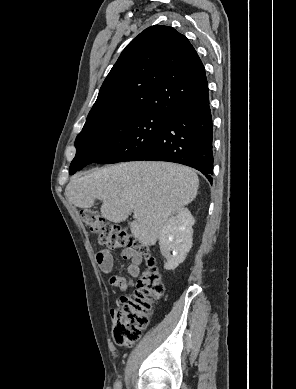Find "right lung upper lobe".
Listing matches in <instances>:
<instances>
[{
    "label": "right lung upper lobe",
    "instance_id": "1",
    "mask_svg": "<svg viewBox=\"0 0 296 389\" xmlns=\"http://www.w3.org/2000/svg\"><path fill=\"white\" fill-rule=\"evenodd\" d=\"M209 99L205 68L175 29H145L123 50L87 119L115 110L171 116Z\"/></svg>",
    "mask_w": 296,
    "mask_h": 389
}]
</instances>
